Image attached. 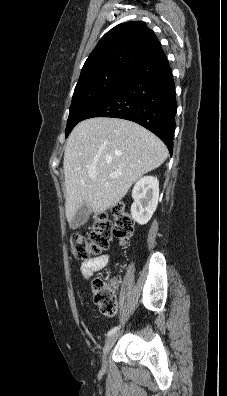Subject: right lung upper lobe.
I'll return each mask as SVG.
<instances>
[{
    "mask_svg": "<svg viewBox=\"0 0 227 396\" xmlns=\"http://www.w3.org/2000/svg\"><path fill=\"white\" fill-rule=\"evenodd\" d=\"M160 51L162 49L159 40L144 22L119 24L98 42L87 58L78 81L87 75L110 68L134 70Z\"/></svg>",
    "mask_w": 227,
    "mask_h": 396,
    "instance_id": "right-lung-upper-lobe-1",
    "label": "right lung upper lobe"
}]
</instances>
